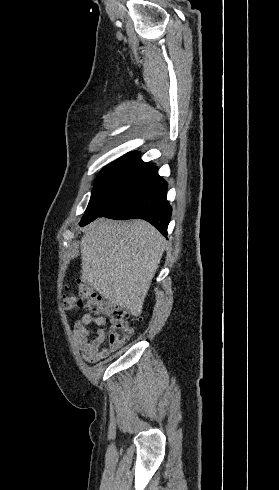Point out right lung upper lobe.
Masks as SVG:
<instances>
[{"instance_id":"right-lung-upper-lobe-1","label":"right lung upper lobe","mask_w":279,"mask_h":490,"mask_svg":"<svg viewBox=\"0 0 279 490\" xmlns=\"http://www.w3.org/2000/svg\"><path fill=\"white\" fill-rule=\"evenodd\" d=\"M140 153L139 152H130L123 157L119 158L115 162H127V163H135V164H146L140 159Z\"/></svg>"}]
</instances>
